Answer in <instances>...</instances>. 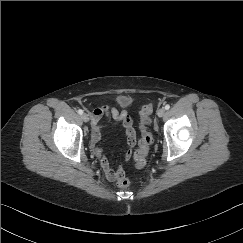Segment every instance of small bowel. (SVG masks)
<instances>
[{"mask_svg": "<svg viewBox=\"0 0 243 243\" xmlns=\"http://www.w3.org/2000/svg\"><path fill=\"white\" fill-rule=\"evenodd\" d=\"M92 121V130L90 137V150L99 160L100 168L107 180L115 182L125 176L124 169L121 166L113 168L103 149L98 146L102 136V128L105 121L114 120L120 122L125 131L127 151L125 161H128L133 154L136 144V131L134 121L131 115L124 109H118L114 106H102L90 111Z\"/></svg>", "mask_w": 243, "mask_h": 243, "instance_id": "c3829d8e", "label": "small bowel"}]
</instances>
